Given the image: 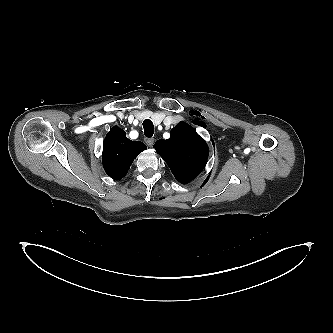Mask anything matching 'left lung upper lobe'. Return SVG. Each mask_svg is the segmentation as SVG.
<instances>
[{
    "label": "left lung upper lobe",
    "mask_w": 333,
    "mask_h": 333,
    "mask_svg": "<svg viewBox=\"0 0 333 333\" xmlns=\"http://www.w3.org/2000/svg\"><path fill=\"white\" fill-rule=\"evenodd\" d=\"M154 148L168 164L175 178L184 184L201 173L209 154L206 142L184 122L171 130L169 139L158 140Z\"/></svg>",
    "instance_id": "5c2ea615"
}]
</instances>
